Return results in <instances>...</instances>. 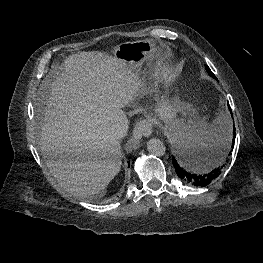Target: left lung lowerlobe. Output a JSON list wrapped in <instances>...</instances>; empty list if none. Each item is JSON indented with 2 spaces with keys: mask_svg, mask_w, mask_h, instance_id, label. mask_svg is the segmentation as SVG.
<instances>
[{
  "mask_svg": "<svg viewBox=\"0 0 263 263\" xmlns=\"http://www.w3.org/2000/svg\"><path fill=\"white\" fill-rule=\"evenodd\" d=\"M228 108L231 112L229 103H228ZM234 141H235V128L233 129L232 145L230 142L229 146L225 150L224 157L228 154L230 146L231 149H233ZM180 152L183 155L181 157H178L177 159L173 157L172 163L178 177L188 185H192L195 187H206L209 184L213 183L221 175V172L225 167V164H222L221 166L209 169L208 171L199 170L196 168L197 154L189 153V152L184 153L181 150Z\"/></svg>",
  "mask_w": 263,
  "mask_h": 263,
  "instance_id": "0a47b994",
  "label": "left lung lower lobe"
}]
</instances>
